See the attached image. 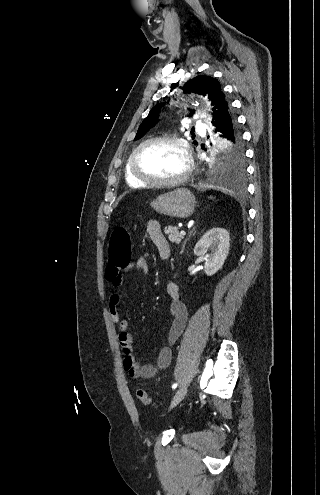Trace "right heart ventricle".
Wrapping results in <instances>:
<instances>
[{
  "label": "right heart ventricle",
  "instance_id": "e07e8e85",
  "mask_svg": "<svg viewBox=\"0 0 320 495\" xmlns=\"http://www.w3.org/2000/svg\"><path fill=\"white\" fill-rule=\"evenodd\" d=\"M129 161H130V156L126 161L125 168H124V176H125V180H126L127 184L133 188L145 187L146 185L144 183L138 181L136 178L133 177V175L130 171Z\"/></svg>",
  "mask_w": 320,
  "mask_h": 495
}]
</instances>
